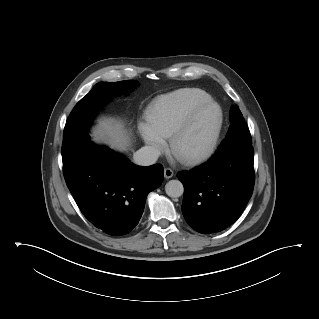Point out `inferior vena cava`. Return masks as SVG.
<instances>
[{
	"label": "inferior vena cava",
	"instance_id": "inferior-vena-cava-1",
	"mask_svg": "<svg viewBox=\"0 0 319 319\" xmlns=\"http://www.w3.org/2000/svg\"><path fill=\"white\" fill-rule=\"evenodd\" d=\"M159 156L160 151L157 148L144 146L134 153L133 161L137 165L149 166L154 164Z\"/></svg>",
	"mask_w": 319,
	"mask_h": 319
}]
</instances>
